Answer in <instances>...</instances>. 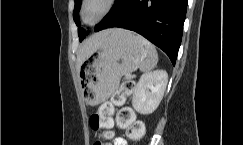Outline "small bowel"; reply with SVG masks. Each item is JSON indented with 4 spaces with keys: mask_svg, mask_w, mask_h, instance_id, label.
<instances>
[{
    "mask_svg": "<svg viewBox=\"0 0 243 145\" xmlns=\"http://www.w3.org/2000/svg\"><path fill=\"white\" fill-rule=\"evenodd\" d=\"M114 145H128L127 144V141L122 138V137H117L115 140H114Z\"/></svg>",
    "mask_w": 243,
    "mask_h": 145,
    "instance_id": "c3829d8e",
    "label": "small bowel"
}]
</instances>
